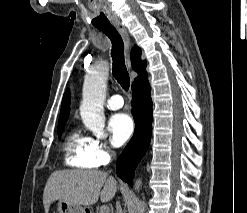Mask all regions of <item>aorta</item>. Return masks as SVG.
Instances as JSON below:
<instances>
[{
  "label": "aorta",
  "mask_w": 247,
  "mask_h": 213,
  "mask_svg": "<svg viewBox=\"0 0 247 213\" xmlns=\"http://www.w3.org/2000/svg\"><path fill=\"white\" fill-rule=\"evenodd\" d=\"M109 75L107 63H101L88 71L83 84V100L80 106V115L86 128L94 134L100 135L105 126L104 100ZM140 180L135 184L139 189Z\"/></svg>",
  "instance_id": "aorta-1"
}]
</instances>
